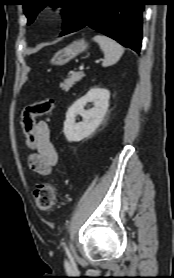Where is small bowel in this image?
<instances>
[{"mask_svg": "<svg viewBox=\"0 0 174 278\" xmlns=\"http://www.w3.org/2000/svg\"><path fill=\"white\" fill-rule=\"evenodd\" d=\"M38 138L36 151L29 157V165L35 172L48 175L58 162L56 149L51 141L50 128L46 121H38L35 125Z\"/></svg>", "mask_w": 174, "mask_h": 278, "instance_id": "obj_1", "label": "small bowel"}]
</instances>
